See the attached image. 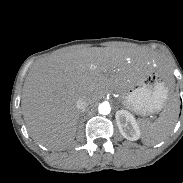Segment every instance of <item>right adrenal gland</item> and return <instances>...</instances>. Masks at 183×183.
<instances>
[{"label":"right adrenal gland","mask_w":183,"mask_h":183,"mask_svg":"<svg viewBox=\"0 0 183 183\" xmlns=\"http://www.w3.org/2000/svg\"><path fill=\"white\" fill-rule=\"evenodd\" d=\"M83 113H84V112H80L79 118H81V116H82Z\"/></svg>","instance_id":"obj_1"}]
</instances>
